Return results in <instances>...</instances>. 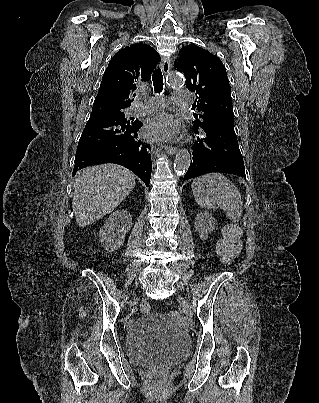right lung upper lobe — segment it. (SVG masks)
I'll return each instance as SVG.
<instances>
[{"mask_svg":"<svg viewBox=\"0 0 319 403\" xmlns=\"http://www.w3.org/2000/svg\"><path fill=\"white\" fill-rule=\"evenodd\" d=\"M159 60V54L147 44L119 50L109 62L93 105L129 107L130 93L138 83L150 79Z\"/></svg>","mask_w":319,"mask_h":403,"instance_id":"obj_1","label":"right lung upper lobe"}]
</instances>
